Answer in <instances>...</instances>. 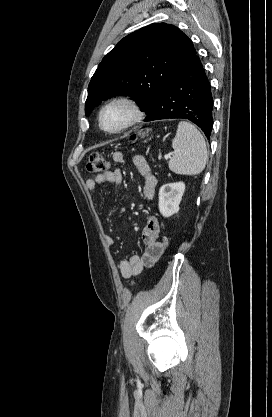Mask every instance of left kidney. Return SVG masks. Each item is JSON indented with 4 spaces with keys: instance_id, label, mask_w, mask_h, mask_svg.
Instances as JSON below:
<instances>
[{
    "instance_id": "5707ae66",
    "label": "left kidney",
    "mask_w": 272,
    "mask_h": 417,
    "mask_svg": "<svg viewBox=\"0 0 272 417\" xmlns=\"http://www.w3.org/2000/svg\"><path fill=\"white\" fill-rule=\"evenodd\" d=\"M185 191L183 182L164 184L159 190V211L163 217H170L179 211V204Z\"/></svg>"
}]
</instances>
